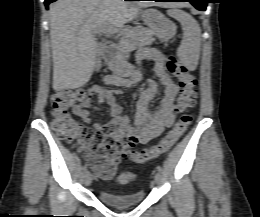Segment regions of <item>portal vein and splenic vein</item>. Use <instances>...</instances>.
Segmentation results:
<instances>
[{
    "label": "portal vein and splenic vein",
    "mask_w": 260,
    "mask_h": 217,
    "mask_svg": "<svg viewBox=\"0 0 260 217\" xmlns=\"http://www.w3.org/2000/svg\"><path fill=\"white\" fill-rule=\"evenodd\" d=\"M106 33V34H112L116 32V29L114 27H105V28H99V29H95L92 34H96V33Z\"/></svg>",
    "instance_id": "obj_1"
}]
</instances>
